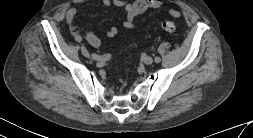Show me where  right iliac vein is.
Returning <instances> with one entry per match:
<instances>
[{
  "label": "right iliac vein",
  "instance_id": "1",
  "mask_svg": "<svg viewBox=\"0 0 253 138\" xmlns=\"http://www.w3.org/2000/svg\"><path fill=\"white\" fill-rule=\"evenodd\" d=\"M81 52L86 57L90 56L89 53H88V50L84 46L81 47Z\"/></svg>",
  "mask_w": 253,
  "mask_h": 138
}]
</instances>
